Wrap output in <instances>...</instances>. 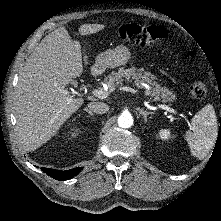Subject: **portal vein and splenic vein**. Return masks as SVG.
I'll return each instance as SVG.
<instances>
[{"mask_svg": "<svg viewBox=\"0 0 221 221\" xmlns=\"http://www.w3.org/2000/svg\"><path fill=\"white\" fill-rule=\"evenodd\" d=\"M120 90L129 91L131 93H136L137 92L135 89H133L131 87H127V86L120 87ZM92 94L95 97L100 98V99H105L109 96V92H106L102 89H95V90L92 91ZM157 106L159 108L163 109V110H166V111L170 112V113L177 114V111H175L173 108L169 107L168 105L158 104Z\"/></svg>", "mask_w": 221, "mask_h": 221, "instance_id": "portal-vein-and-splenic-vein-1", "label": "portal vein and splenic vein"}]
</instances>
